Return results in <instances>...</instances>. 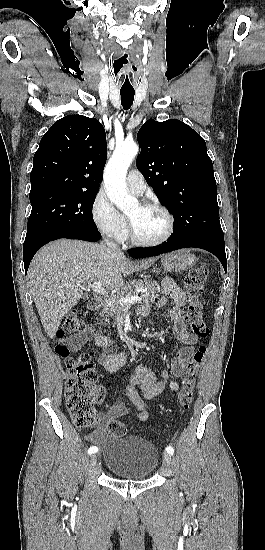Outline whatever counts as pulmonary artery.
<instances>
[{
    "label": "pulmonary artery",
    "mask_w": 265,
    "mask_h": 550,
    "mask_svg": "<svg viewBox=\"0 0 265 550\" xmlns=\"http://www.w3.org/2000/svg\"><path fill=\"white\" fill-rule=\"evenodd\" d=\"M128 189L135 195H141L145 191L146 183L143 176L137 170H131L126 179Z\"/></svg>",
    "instance_id": "e3ab8cb5"
}]
</instances>
